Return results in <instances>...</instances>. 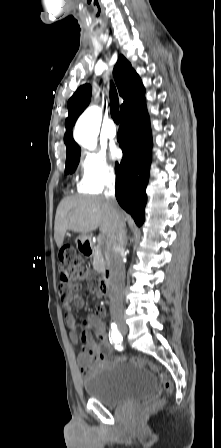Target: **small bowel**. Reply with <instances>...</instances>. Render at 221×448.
<instances>
[{
	"instance_id": "small-bowel-1",
	"label": "small bowel",
	"mask_w": 221,
	"mask_h": 448,
	"mask_svg": "<svg viewBox=\"0 0 221 448\" xmlns=\"http://www.w3.org/2000/svg\"><path fill=\"white\" fill-rule=\"evenodd\" d=\"M83 304L84 300L81 295L72 292L63 294L62 305L66 312L65 322L71 330V338L73 341H80L83 346L82 351L77 356L78 365L83 374H88L100 368L111 358L117 361H122L123 359L120 356L113 355L110 349L106 329L101 320L105 314V309L102 306H97L85 318L86 323L91 327L102 348L90 338L88 331L78 332V324L72 313V306L82 307Z\"/></svg>"
}]
</instances>
